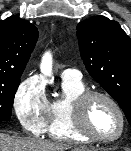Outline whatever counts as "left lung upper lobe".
<instances>
[{
	"label": "left lung upper lobe",
	"instance_id": "left-lung-upper-lobe-1",
	"mask_svg": "<svg viewBox=\"0 0 131 151\" xmlns=\"http://www.w3.org/2000/svg\"><path fill=\"white\" fill-rule=\"evenodd\" d=\"M89 74L118 102L131 125V39L119 23L94 16L77 25Z\"/></svg>",
	"mask_w": 131,
	"mask_h": 151
}]
</instances>
